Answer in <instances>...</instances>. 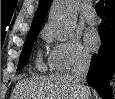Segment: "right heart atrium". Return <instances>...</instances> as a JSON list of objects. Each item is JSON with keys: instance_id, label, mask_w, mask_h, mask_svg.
I'll list each match as a JSON object with an SVG mask.
<instances>
[{"instance_id": "obj_1", "label": "right heart atrium", "mask_w": 115, "mask_h": 99, "mask_svg": "<svg viewBox=\"0 0 115 99\" xmlns=\"http://www.w3.org/2000/svg\"><path fill=\"white\" fill-rule=\"evenodd\" d=\"M43 39L50 44L48 65L56 72L68 71L71 67L81 65L89 60V54L77 37L57 41L49 26L42 31Z\"/></svg>"}]
</instances>
